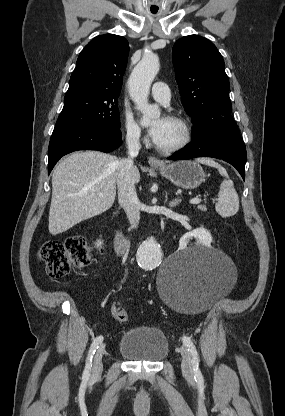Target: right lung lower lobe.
<instances>
[{"mask_svg": "<svg viewBox=\"0 0 285 416\" xmlns=\"http://www.w3.org/2000/svg\"><path fill=\"white\" fill-rule=\"evenodd\" d=\"M121 131L54 129L48 148V174L64 155L77 150L111 152L121 145Z\"/></svg>", "mask_w": 285, "mask_h": 416, "instance_id": "1", "label": "right lung lower lobe"}]
</instances>
